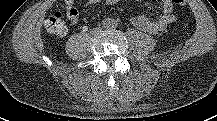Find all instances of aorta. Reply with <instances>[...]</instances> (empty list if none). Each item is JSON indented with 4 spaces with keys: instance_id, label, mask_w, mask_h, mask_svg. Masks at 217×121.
<instances>
[{
    "instance_id": "aorta-1",
    "label": "aorta",
    "mask_w": 217,
    "mask_h": 121,
    "mask_svg": "<svg viewBox=\"0 0 217 121\" xmlns=\"http://www.w3.org/2000/svg\"><path fill=\"white\" fill-rule=\"evenodd\" d=\"M117 25L116 21L114 19L111 18H107L104 20V26L106 28H115Z\"/></svg>"
}]
</instances>
